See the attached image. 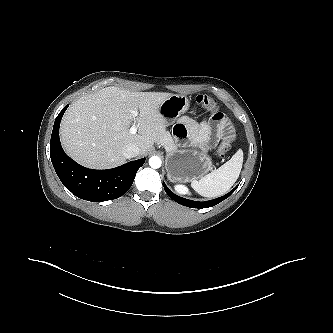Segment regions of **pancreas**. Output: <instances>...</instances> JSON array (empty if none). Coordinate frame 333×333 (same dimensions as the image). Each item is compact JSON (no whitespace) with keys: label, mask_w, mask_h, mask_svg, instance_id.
I'll return each instance as SVG.
<instances>
[{"label":"pancreas","mask_w":333,"mask_h":333,"mask_svg":"<svg viewBox=\"0 0 333 333\" xmlns=\"http://www.w3.org/2000/svg\"><path fill=\"white\" fill-rule=\"evenodd\" d=\"M161 142L165 145L167 152H174L177 150V145L169 133L161 139Z\"/></svg>","instance_id":"obj_1"}]
</instances>
